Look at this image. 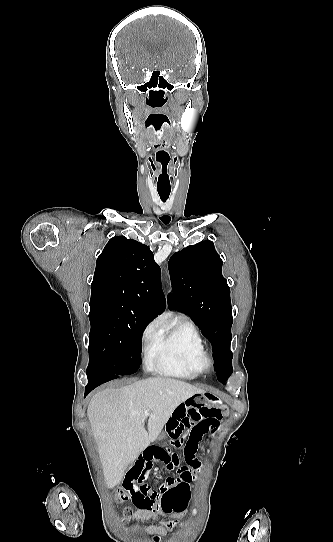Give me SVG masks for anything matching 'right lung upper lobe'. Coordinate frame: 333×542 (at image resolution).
<instances>
[{
  "instance_id": "cb5924a9",
  "label": "right lung upper lobe",
  "mask_w": 333,
  "mask_h": 542,
  "mask_svg": "<svg viewBox=\"0 0 333 542\" xmlns=\"http://www.w3.org/2000/svg\"><path fill=\"white\" fill-rule=\"evenodd\" d=\"M165 305L160 267L149 247L124 236L111 238L97 258L90 309L115 308L152 320Z\"/></svg>"
}]
</instances>
